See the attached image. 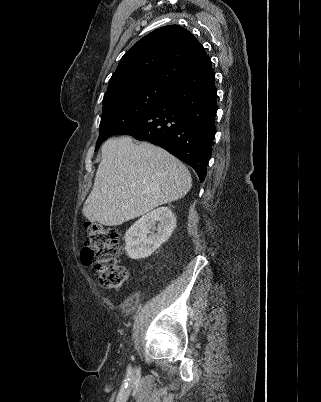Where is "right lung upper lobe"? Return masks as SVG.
<instances>
[{
  "instance_id": "obj_1",
  "label": "right lung upper lobe",
  "mask_w": 321,
  "mask_h": 402,
  "mask_svg": "<svg viewBox=\"0 0 321 402\" xmlns=\"http://www.w3.org/2000/svg\"><path fill=\"white\" fill-rule=\"evenodd\" d=\"M209 65V56L188 30L178 25L161 27L124 54L109 80L104 98L147 84L169 86Z\"/></svg>"
}]
</instances>
